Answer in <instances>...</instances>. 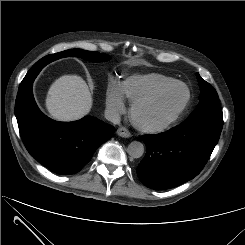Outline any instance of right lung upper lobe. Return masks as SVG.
Returning <instances> with one entry per match:
<instances>
[{
    "label": "right lung upper lobe",
    "mask_w": 245,
    "mask_h": 245,
    "mask_svg": "<svg viewBox=\"0 0 245 245\" xmlns=\"http://www.w3.org/2000/svg\"><path fill=\"white\" fill-rule=\"evenodd\" d=\"M40 64L41 65H46V64H48L50 61H49V58H48V56H46V57H44V58H42L40 61ZM43 66V67H44ZM42 66H37V65H35L34 64V66L28 71V73L26 74V76H25V78L23 79L24 80V84H25V88L29 85V84H31V83H33V80L35 79V77L37 76V74L40 72V70L43 68ZM23 82V81H22ZM21 82V83H22ZM21 85V84H20ZM24 88V89H25ZM23 89V90H24ZM19 91V90H18Z\"/></svg>",
    "instance_id": "cb5924a9"
}]
</instances>
